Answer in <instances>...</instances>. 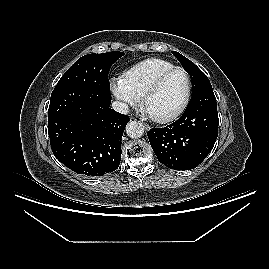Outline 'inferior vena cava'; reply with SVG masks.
<instances>
[{"label":"inferior vena cava","instance_id":"1","mask_svg":"<svg viewBox=\"0 0 269 269\" xmlns=\"http://www.w3.org/2000/svg\"><path fill=\"white\" fill-rule=\"evenodd\" d=\"M112 108L116 111L119 112L121 114H127L129 112V108L128 105L124 102H120V101H114L112 103Z\"/></svg>","mask_w":269,"mask_h":269}]
</instances>
